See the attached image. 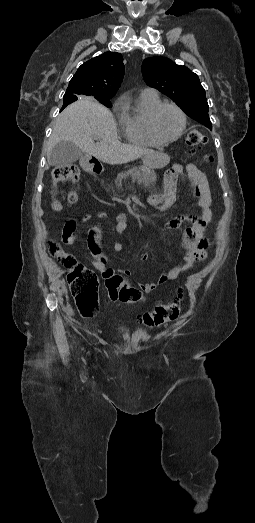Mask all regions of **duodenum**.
Instances as JSON below:
<instances>
[{
    "label": "duodenum",
    "mask_w": 255,
    "mask_h": 523,
    "mask_svg": "<svg viewBox=\"0 0 255 523\" xmlns=\"http://www.w3.org/2000/svg\"><path fill=\"white\" fill-rule=\"evenodd\" d=\"M82 168L91 174L99 175L103 171L101 161L94 155H86L81 161Z\"/></svg>",
    "instance_id": "obj_1"
}]
</instances>
